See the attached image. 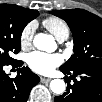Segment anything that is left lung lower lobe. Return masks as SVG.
Instances as JSON below:
<instances>
[{
  "label": "left lung lower lobe",
  "instance_id": "1",
  "mask_svg": "<svg viewBox=\"0 0 102 102\" xmlns=\"http://www.w3.org/2000/svg\"><path fill=\"white\" fill-rule=\"evenodd\" d=\"M64 74L80 75L81 80H74V84L67 81V92L55 97V102H101L102 101V68L94 67L66 71L60 69Z\"/></svg>",
  "mask_w": 102,
  "mask_h": 102
}]
</instances>
